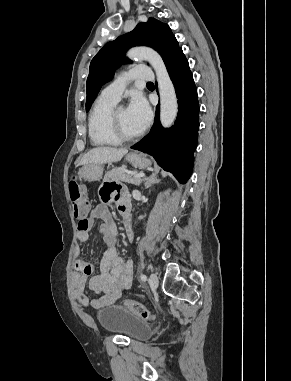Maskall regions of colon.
<instances>
[{"label": "colon", "instance_id": "5ec220e1", "mask_svg": "<svg viewBox=\"0 0 291 381\" xmlns=\"http://www.w3.org/2000/svg\"><path fill=\"white\" fill-rule=\"evenodd\" d=\"M69 194L75 217L86 220L90 210V203L87 200L81 185L76 179H72L69 182ZM86 226V223H83L81 228L85 229ZM124 306L131 313L142 318L143 320H152L154 318L152 312L139 302L126 300L124 301Z\"/></svg>", "mask_w": 291, "mask_h": 381}]
</instances>
